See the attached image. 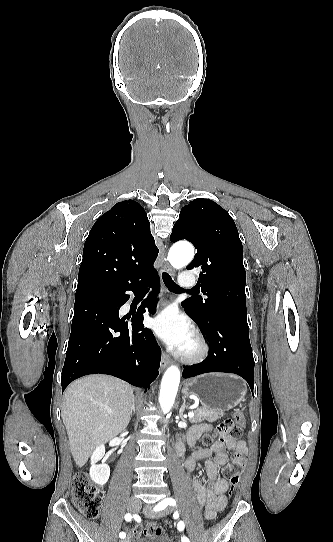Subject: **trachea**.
<instances>
[{
	"mask_svg": "<svg viewBox=\"0 0 333 542\" xmlns=\"http://www.w3.org/2000/svg\"><path fill=\"white\" fill-rule=\"evenodd\" d=\"M163 281L170 291L182 290V288L172 280L168 273H163Z\"/></svg>",
	"mask_w": 333,
	"mask_h": 542,
	"instance_id": "obj_1",
	"label": "trachea"
}]
</instances>
